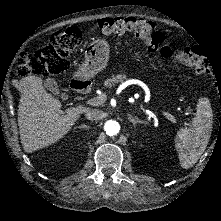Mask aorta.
<instances>
[{"mask_svg": "<svg viewBox=\"0 0 221 221\" xmlns=\"http://www.w3.org/2000/svg\"><path fill=\"white\" fill-rule=\"evenodd\" d=\"M104 130L108 136H114L120 131V125L115 120H108L104 124Z\"/></svg>", "mask_w": 221, "mask_h": 221, "instance_id": "1", "label": "aorta"}]
</instances>
